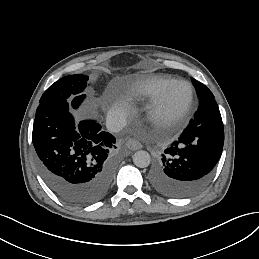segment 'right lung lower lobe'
<instances>
[{
  "label": "right lung lower lobe",
  "mask_w": 259,
  "mask_h": 259,
  "mask_svg": "<svg viewBox=\"0 0 259 259\" xmlns=\"http://www.w3.org/2000/svg\"><path fill=\"white\" fill-rule=\"evenodd\" d=\"M68 100L39 104L32 141L37 168L51 190L68 204L83 206L102 199L110 190L116 139L94 120L75 125ZM74 108V107H73Z\"/></svg>",
  "instance_id": "obj_1"
}]
</instances>
